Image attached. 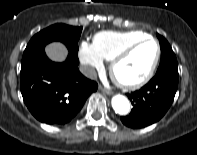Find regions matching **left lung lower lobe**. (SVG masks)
Segmentation results:
<instances>
[{
  "mask_svg": "<svg viewBox=\"0 0 197 155\" xmlns=\"http://www.w3.org/2000/svg\"><path fill=\"white\" fill-rule=\"evenodd\" d=\"M178 73L156 74L140 90L127 94L133 109L121 121L130 128H143L160 120L171 106L178 86Z\"/></svg>",
  "mask_w": 197,
  "mask_h": 155,
  "instance_id": "obj_1",
  "label": "left lung lower lobe"
}]
</instances>
